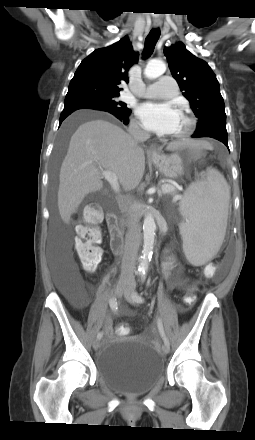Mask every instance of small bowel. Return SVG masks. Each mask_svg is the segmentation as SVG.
Returning <instances> with one entry per match:
<instances>
[{"mask_svg": "<svg viewBox=\"0 0 255 440\" xmlns=\"http://www.w3.org/2000/svg\"><path fill=\"white\" fill-rule=\"evenodd\" d=\"M163 272L167 279L168 285L173 289H183V290H190L194 289V287L190 284L185 283L182 279H172L170 277V265L168 262H164L163 264ZM108 331L110 332V328L107 327Z\"/></svg>", "mask_w": 255, "mask_h": 440, "instance_id": "obj_1", "label": "small bowel"}]
</instances>
